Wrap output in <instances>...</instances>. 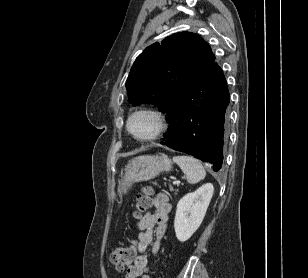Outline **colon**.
I'll use <instances>...</instances> for the list:
<instances>
[{
    "mask_svg": "<svg viewBox=\"0 0 308 278\" xmlns=\"http://www.w3.org/2000/svg\"><path fill=\"white\" fill-rule=\"evenodd\" d=\"M152 190L149 187H144L138 194L134 215L138 217L141 212L148 209L152 204ZM136 256V247L134 244L120 247L111 254V262L118 270L128 269L134 262ZM144 278H151L145 276Z\"/></svg>",
    "mask_w": 308,
    "mask_h": 278,
    "instance_id": "1",
    "label": "colon"
}]
</instances>
